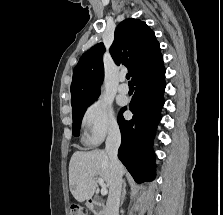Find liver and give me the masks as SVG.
Masks as SVG:
<instances>
[{
	"label": "liver",
	"instance_id": "1",
	"mask_svg": "<svg viewBox=\"0 0 223 215\" xmlns=\"http://www.w3.org/2000/svg\"><path fill=\"white\" fill-rule=\"evenodd\" d=\"M126 169L122 165V173ZM95 175H101L106 187L112 185V173L110 159L104 149H92V151H75L69 163V187L77 201L91 199L96 187Z\"/></svg>",
	"mask_w": 223,
	"mask_h": 215
}]
</instances>
